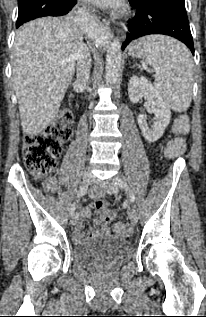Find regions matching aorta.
Returning <instances> with one entry per match:
<instances>
[{
	"label": "aorta",
	"mask_w": 206,
	"mask_h": 317,
	"mask_svg": "<svg viewBox=\"0 0 206 317\" xmlns=\"http://www.w3.org/2000/svg\"><path fill=\"white\" fill-rule=\"evenodd\" d=\"M84 30L91 34L98 33L99 26L93 17L86 15L83 22ZM122 61L121 43L119 40H113L106 56L105 78L108 84L113 85L118 81Z\"/></svg>",
	"instance_id": "aorta-1"
}]
</instances>
